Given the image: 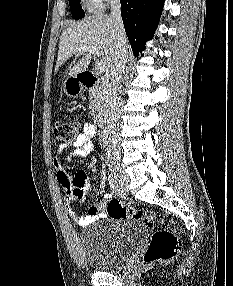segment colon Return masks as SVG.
Returning a JSON list of instances; mask_svg holds the SVG:
<instances>
[{"instance_id":"colon-1","label":"colon","mask_w":233,"mask_h":286,"mask_svg":"<svg viewBox=\"0 0 233 286\" xmlns=\"http://www.w3.org/2000/svg\"><path fill=\"white\" fill-rule=\"evenodd\" d=\"M79 121L77 118L58 120L54 125V135L63 143H73L78 136ZM107 214L114 218H131L142 221L147 227L153 228L156 216L152 211L142 210L131 203H122L118 199H111L106 206ZM181 249V241L170 230H157L144 253L143 260L146 264L164 263L177 256Z\"/></svg>"}]
</instances>
